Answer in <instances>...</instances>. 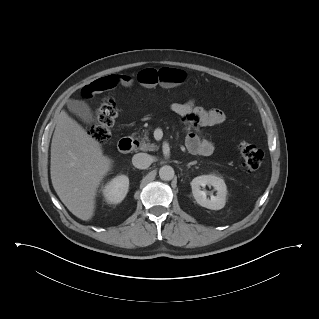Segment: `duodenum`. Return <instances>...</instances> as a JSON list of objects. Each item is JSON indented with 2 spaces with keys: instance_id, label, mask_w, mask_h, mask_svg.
I'll return each mask as SVG.
<instances>
[{
  "instance_id": "410a0bca",
  "label": "duodenum",
  "mask_w": 319,
  "mask_h": 319,
  "mask_svg": "<svg viewBox=\"0 0 319 319\" xmlns=\"http://www.w3.org/2000/svg\"><path fill=\"white\" fill-rule=\"evenodd\" d=\"M136 145V141L132 138H123L118 143V149L122 153L131 151Z\"/></svg>"
}]
</instances>
